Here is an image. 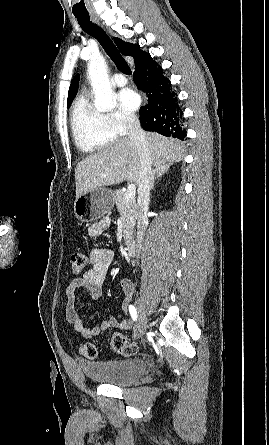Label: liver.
<instances>
[{
    "label": "liver",
    "instance_id": "obj_1",
    "mask_svg": "<svg viewBox=\"0 0 269 445\" xmlns=\"http://www.w3.org/2000/svg\"><path fill=\"white\" fill-rule=\"evenodd\" d=\"M151 161L155 168L182 160L185 148L178 140L157 133H146ZM140 157L129 137L100 148L79 162L75 168L76 198L93 189L120 184L124 180L138 184Z\"/></svg>",
    "mask_w": 269,
    "mask_h": 445
}]
</instances>
